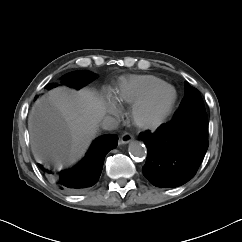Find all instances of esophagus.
Segmentation results:
<instances>
[{"mask_svg":"<svg viewBox=\"0 0 242 242\" xmlns=\"http://www.w3.org/2000/svg\"><path fill=\"white\" fill-rule=\"evenodd\" d=\"M133 135L130 133H124L120 138V144H127L133 140Z\"/></svg>","mask_w":242,"mask_h":242,"instance_id":"34e87169","label":"esophagus"}]
</instances>
